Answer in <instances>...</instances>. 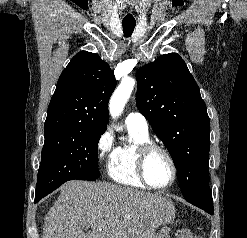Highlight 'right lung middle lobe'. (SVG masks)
Wrapping results in <instances>:
<instances>
[{"label": "right lung middle lobe", "mask_w": 247, "mask_h": 238, "mask_svg": "<svg viewBox=\"0 0 247 238\" xmlns=\"http://www.w3.org/2000/svg\"><path fill=\"white\" fill-rule=\"evenodd\" d=\"M100 127H76L45 133L35 199L40 200L68 180H96Z\"/></svg>", "instance_id": "obj_1"}]
</instances>
